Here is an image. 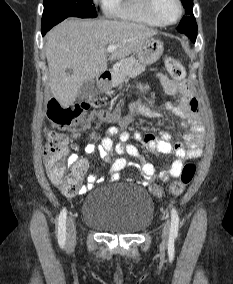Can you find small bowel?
I'll use <instances>...</instances> for the list:
<instances>
[{"mask_svg": "<svg viewBox=\"0 0 233 284\" xmlns=\"http://www.w3.org/2000/svg\"><path fill=\"white\" fill-rule=\"evenodd\" d=\"M157 78L167 95L179 98L177 104L167 103L166 108L182 118L185 121L184 125L189 131L183 136L185 143H173L171 135L167 131H161L158 136L153 134L143 135L138 131L134 132L133 138L143 142L151 151L160 154H173L177 158L169 169L161 172H157L152 163L141 158L139 171L143 177L141 184L144 186L154 181L164 183L171 178L180 176L184 161L200 157L204 144V127L199 114V105L189 84L184 80L169 79L162 73L157 74ZM132 110L150 117L160 116V113L141 104L133 105ZM79 136L80 133L78 131H74L72 134V137L75 139ZM130 137L129 132L123 131L117 126H111L106 130L105 136L97 146L89 144L85 148L88 154L98 150L100 158L110 164L111 179L113 181L118 180L119 173L128 166V161L124 155L140 157L138 149L128 142ZM114 138H117L118 142L115 143ZM114 153L120 157L113 159ZM68 162L72 169L80 170L83 175L89 168V161L85 158H79L76 154L70 155ZM45 169L49 180L56 186L52 169L46 160ZM87 181V184L78 191L79 194H84L93 189L95 184L102 182L103 179L90 175Z\"/></svg>", "mask_w": 233, "mask_h": 284, "instance_id": "c3829d8e", "label": "small bowel"}]
</instances>
